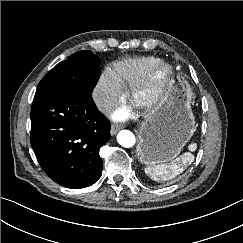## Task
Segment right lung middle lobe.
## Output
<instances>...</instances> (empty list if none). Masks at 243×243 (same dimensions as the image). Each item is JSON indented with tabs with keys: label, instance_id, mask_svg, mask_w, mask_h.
<instances>
[{
	"label": "right lung middle lobe",
	"instance_id": "dd1d6c3e",
	"mask_svg": "<svg viewBox=\"0 0 243 243\" xmlns=\"http://www.w3.org/2000/svg\"><path fill=\"white\" fill-rule=\"evenodd\" d=\"M99 59L91 51H79L57 64L39 83L38 89L91 93L99 78Z\"/></svg>",
	"mask_w": 243,
	"mask_h": 243
}]
</instances>
